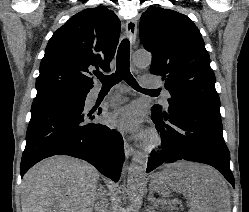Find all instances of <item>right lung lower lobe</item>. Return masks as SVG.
Returning <instances> with one entry per match:
<instances>
[{
  "instance_id": "1",
  "label": "right lung lower lobe",
  "mask_w": 249,
  "mask_h": 212,
  "mask_svg": "<svg viewBox=\"0 0 249 212\" xmlns=\"http://www.w3.org/2000/svg\"><path fill=\"white\" fill-rule=\"evenodd\" d=\"M85 99L33 102L21 177L44 158L69 155L86 160L113 181L119 180L124 161L123 139L117 131L91 122L102 109L88 111Z\"/></svg>"
}]
</instances>
